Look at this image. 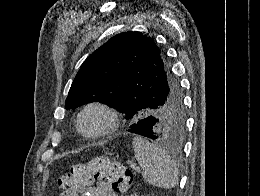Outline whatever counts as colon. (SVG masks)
<instances>
[{"instance_id": "obj_1", "label": "colon", "mask_w": 260, "mask_h": 196, "mask_svg": "<svg viewBox=\"0 0 260 196\" xmlns=\"http://www.w3.org/2000/svg\"><path fill=\"white\" fill-rule=\"evenodd\" d=\"M131 175V169L122 161L95 159L75 166L58 179V184L64 189L61 196H78L86 186L96 182H109L114 190L123 192L130 188Z\"/></svg>"}]
</instances>
